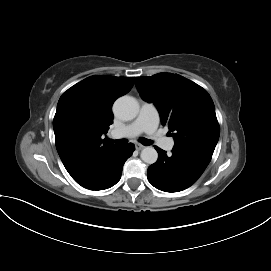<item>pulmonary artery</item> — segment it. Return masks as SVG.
I'll use <instances>...</instances> for the list:
<instances>
[{
  "mask_svg": "<svg viewBox=\"0 0 271 271\" xmlns=\"http://www.w3.org/2000/svg\"><path fill=\"white\" fill-rule=\"evenodd\" d=\"M159 124V113L156 107L150 103L141 106L137 118L125 128L112 133L113 137H133L141 133H147L163 149L170 151L174 146V140L160 136L156 133Z\"/></svg>",
  "mask_w": 271,
  "mask_h": 271,
  "instance_id": "obj_1",
  "label": "pulmonary artery"
}]
</instances>
